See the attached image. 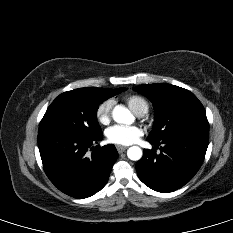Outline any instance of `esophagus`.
I'll use <instances>...</instances> for the list:
<instances>
[{
	"instance_id": "esophagus-1",
	"label": "esophagus",
	"mask_w": 233,
	"mask_h": 233,
	"mask_svg": "<svg viewBox=\"0 0 233 233\" xmlns=\"http://www.w3.org/2000/svg\"><path fill=\"white\" fill-rule=\"evenodd\" d=\"M116 148L119 153H122L123 151L127 149L126 146H121V145H117Z\"/></svg>"
}]
</instances>
